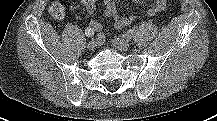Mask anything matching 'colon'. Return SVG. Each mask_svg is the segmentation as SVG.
I'll return each mask as SVG.
<instances>
[{"label":"colon","instance_id":"colon-1","mask_svg":"<svg viewBox=\"0 0 217 121\" xmlns=\"http://www.w3.org/2000/svg\"><path fill=\"white\" fill-rule=\"evenodd\" d=\"M65 10L66 0H55L48 8L49 14L55 19H61L65 14Z\"/></svg>","mask_w":217,"mask_h":121}]
</instances>
